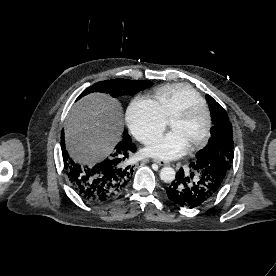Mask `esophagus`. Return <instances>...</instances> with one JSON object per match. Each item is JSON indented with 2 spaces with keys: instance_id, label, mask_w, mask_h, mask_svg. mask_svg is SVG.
Instances as JSON below:
<instances>
[{
  "instance_id": "1",
  "label": "esophagus",
  "mask_w": 276,
  "mask_h": 276,
  "mask_svg": "<svg viewBox=\"0 0 276 276\" xmlns=\"http://www.w3.org/2000/svg\"><path fill=\"white\" fill-rule=\"evenodd\" d=\"M155 163H157L160 166H166L169 165V162L163 161V160H153Z\"/></svg>"
}]
</instances>
